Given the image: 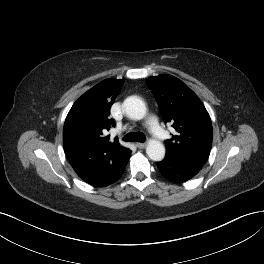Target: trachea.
<instances>
[{
	"instance_id": "obj_1",
	"label": "trachea",
	"mask_w": 264,
	"mask_h": 264,
	"mask_svg": "<svg viewBox=\"0 0 264 264\" xmlns=\"http://www.w3.org/2000/svg\"><path fill=\"white\" fill-rule=\"evenodd\" d=\"M123 139L128 142H143L145 140V136L140 132H130L125 135Z\"/></svg>"
}]
</instances>
